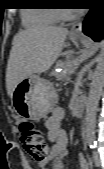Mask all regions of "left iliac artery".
Instances as JSON below:
<instances>
[{"label":"left iliac artery","mask_w":104,"mask_h":169,"mask_svg":"<svg viewBox=\"0 0 104 169\" xmlns=\"http://www.w3.org/2000/svg\"><path fill=\"white\" fill-rule=\"evenodd\" d=\"M87 142H88L89 147H90L91 149H95V148H96V146H97V141H96L95 139L90 138V139H88Z\"/></svg>","instance_id":"obj_1"}]
</instances>
